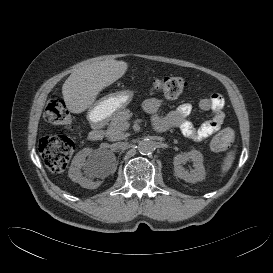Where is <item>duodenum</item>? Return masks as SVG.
Segmentation results:
<instances>
[{"label":"duodenum","mask_w":273,"mask_h":273,"mask_svg":"<svg viewBox=\"0 0 273 273\" xmlns=\"http://www.w3.org/2000/svg\"><path fill=\"white\" fill-rule=\"evenodd\" d=\"M153 124L157 131L162 132L167 129V126L162 119L154 120ZM103 136H104V132H103L102 122L101 121L94 122L92 130L89 134V139L92 142H99L102 140Z\"/></svg>","instance_id":"obj_1"}]
</instances>
